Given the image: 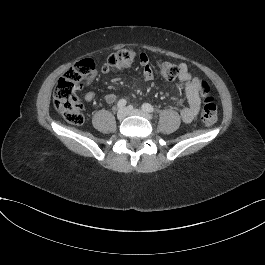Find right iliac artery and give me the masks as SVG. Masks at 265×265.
<instances>
[{"instance_id":"1","label":"right iliac artery","mask_w":265,"mask_h":265,"mask_svg":"<svg viewBox=\"0 0 265 265\" xmlns=\"http://www.w3.org/2000/svg\"><path fill=\"white\" fill-rule=\"evenodd\" d=\"M126 104H127V101L125 99H121L118 101L117 107L121 109V108H124Z\"/></svg>"}]
</instances>
